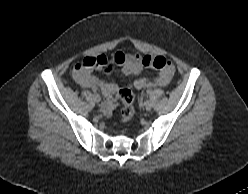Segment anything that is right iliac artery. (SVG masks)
<instances>
[{"label":"right iliac artery","instance_id":"right-iliac-artery-1","mask_svg":"<svg viewBox=\"0 0 248 194\" xmlns=\"http://www.w3.org/2000/svg\"><path fill=\"white\" fill-rule=\"evenodd\" d=\"M94 94H96V90H93Z\"/></svg>","mask_w":248,"mask_h":194}]
</instances>
